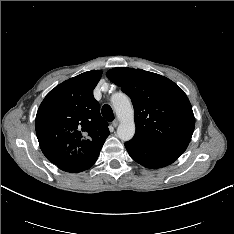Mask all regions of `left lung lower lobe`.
<instances>
[{
  "instance_id": "obj_1",
  "label": "left lung lower lobe",
  "mask_w": 234,
  "mask_h": 234,
  "mask_svg": "<svg viewBox=\"0 0 234 234\" xmlns=\"http://www.w3.org/2000/svg\"><path fill=\"white\" fill-rule=\"evenodd\" d=\"M187 146L188 143H147L132 140L125 143V147L134 161L152 169L173 163Z\"/></svg>"
}]
</instances>
